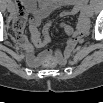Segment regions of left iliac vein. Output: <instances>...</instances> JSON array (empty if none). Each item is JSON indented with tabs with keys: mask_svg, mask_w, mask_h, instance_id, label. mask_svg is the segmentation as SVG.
<instances>
[{
	"mask_svg": "<svg viewBox=\"0 0 103 103\" xmlns=\"http://www.w3.org/2000/svg\"><path fill=\"white\" fill-rule=\"evenodd\" d=\"M88 13L90 16H92V9H89Z\"/></svg>",
	"mask_w": 103,
	"mask_h": 103,
	"instance_id": "obj_1",
	"label": "left iliac vein"
}]
</instances>
